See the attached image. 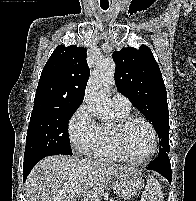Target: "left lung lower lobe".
<instances>
[{
	"label": "left lung lower lobe",
	"mask_w": 196,
	"mask_h": 201,
	"mask_svg": "<svg viewBox=\"0 0 196 201\" xmlns=\"http://www.w3.org/2000/svg\"><path fill=\"white\" fill-rule=\"evenodd\" d=\"M149 170H154L164 176L169 183L172 181L171 165L167 153L161 154L148 167Z\"/></svg>",
	"instance_id": "left-lung-lower-lobe-1"
}]
</instances>
